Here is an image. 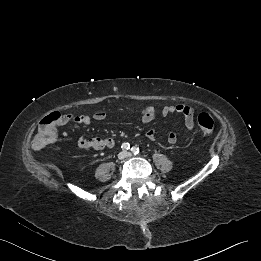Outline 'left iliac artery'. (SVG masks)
I'll use <instances>...</instances> for the list:
<instances>
[{"mask_svg":"<svg viewBox=\"0 0 261 261\" xmlns=\"http://www.w3.org/2000/svg\"><path fill=\"white\" fill-rule=\"evenodd\" d=\"M131 151L136 155V154L139 153V148L134 146V147L131 148Z\"/></svg>","mask_w":261,"mask_h":261,"instance_id":"1","label":"left iliac artery"}]
</instances>
